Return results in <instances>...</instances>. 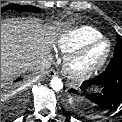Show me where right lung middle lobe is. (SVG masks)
Instances as JSON below:
<instances>
[{
	"label": "right lung middle lobe",
	"instance_id": "1",
	"mask_svg": "<svg viewBox=\"0 0 122 122\" xmlns=\"http://www.w3.org/2000/svg\"><path fill=\"white\" fill-rule=\"evenodd\" d=\"M6 10H17V11H24V12H39L40 9L34 6H26V5H17V4H10L1 9V13Z\"/></svg>",
	"mask_w": 122,
	"mask_h": 122
}]
</instances>
